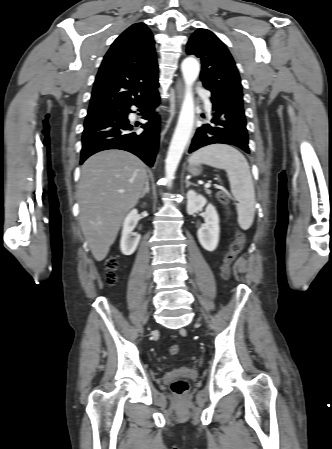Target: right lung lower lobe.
<instances>
[{"label":"right lung lower lobe","instance_id":"right-lung-lower-lobe-1","mask_svg":"<svg viewBox=\"0 0 332 449\" xmlns=\"http://www.w3.org/2000/svg\"><path fill=\"white\" fill-rule=\"evenodd\" d=\"M159 104L158 91L133 101L117 109L88 115L82 135V164L89 156L103 150L120 149L129 151L141 158L147 165L153 166L159 146L160 119L154 109ZM139 108L146 123L141 124L143 132H132L128 114L130 107Z\"/></svg>","mask_w":332,"mask_h":449}]
</instances>
